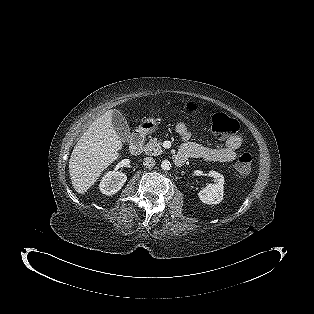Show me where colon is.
I'll list each match as a JSON object with an SVG mask.
<instances>
[{
  "label": "colon",
  "instance_id": "5ec220e1",
  "mask_svg": "<svg viewBox=\"0 0 314 314\" xmlns=\"http://www.w3.org/2000/svg\"><path fill=\"white\" fill-rule=\"evenodd\" d=\"M187 109L193 111V104H188ZM211 129L219 136H227L235 134L239 125L238 122L223 112H216L211 116ZM252 157L249 153L240 154L235 162V168L242 175H247L251 171Z\"/></svg>",
  "mask_w": 314,
  "mask_h": 314
}]
</instances>
